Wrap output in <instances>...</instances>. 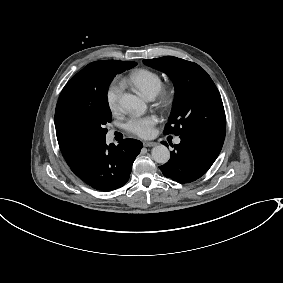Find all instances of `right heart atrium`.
<instances>
[{
    "instance_id": "1",
    "label": "right heart atrium",
    "mask_w": 283,
    "mask_h": 283,
    "mask_svg": "<svg viewBox=\"0 0 283 283\" xmlns=\"http://www.w3.org/2000/svg\"><path fill=\"white\" fill-rule=\"evenodd\" d=\"M124 91V85L118 78H112L105 87V101L111 112L120 109L121 97Z\"/></svg>"
}]
</instances>
